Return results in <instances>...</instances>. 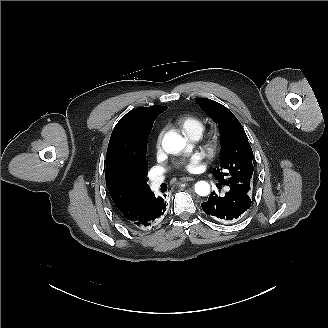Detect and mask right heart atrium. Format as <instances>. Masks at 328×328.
Returning <instances> with one entry per match:
<instances>
[{"label":"right heart atrium","instance_id":"right-heart-atrium-1","mask_svg":"<svg viewBox=\"0 0 328 328\" xmlns=\"http://www.w3.org/2000/svg\"><path fill=\"white\" fill-rule=\"evenodd\" d=\"M164 133H165V129L160 128L154 135V138L152 141V151L156 155L159 154V152L162 149V140H163Z\"/></svg>","mask_w":328,"mask_h":328}]
</instances>
